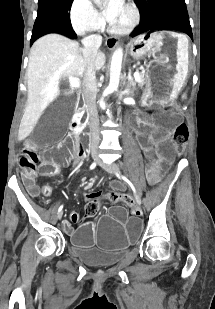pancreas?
Here are the masks:
<instances>
[{
    "mask_svg": "<svg viewBox=\"0 0 215 309\" xmlns=\"http://www.w3.org/2000/svg\"><path fill=\"white\" fill-rule=\"evenodd\" d=\"M136 72H139L140 80H134V82H132V86H136V84H139V86H144V84L146 82L145 72H142L141 68H138V70H136Z\"/></svg>",
    "mask_w": 215,
    "mask_h": 309,
    "instance_id": "cf45deb5",
    "label": "pancreas"
}]
</instances>
